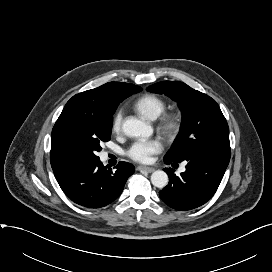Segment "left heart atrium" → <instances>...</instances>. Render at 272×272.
I'll return each mask as SVG.
<instances>
[{"label": "left heart atrium", "instance_id": "1", "mask_svg": "<svg viewBox=\"0 0 272 272\" xmlns=\"http://www.w3.org/2000/svg\"><path fill=\"white\" fill-rule=\"evenodd\" d=\"M161 150L162 143L158 139L137 140L127 150V156L139 163H149Z\"/></svg>", "mask_w": 272, "mask_h": 272}]
</instances>
